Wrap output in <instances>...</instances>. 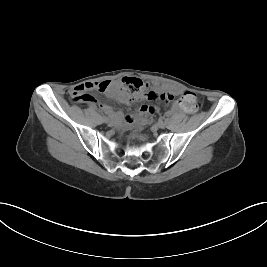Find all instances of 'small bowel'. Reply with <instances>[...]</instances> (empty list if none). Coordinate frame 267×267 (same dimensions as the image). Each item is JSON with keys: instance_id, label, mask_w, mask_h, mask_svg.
<instances>
[{"instance_id": "1", "label": "small bowel", "mask_w": 267, "mask_h": 267, "mask_svg": "<svg viewBox=\"0 0 267 267\" xmlns=\"http://www.w3.org/2000/svg\"><path fill=\"white\" fill-rule=\"evenodd\" d=\"M101 83V82H87V83H84V84H88L90 85L92 88H96L97 85ZM82 85V84H81ZM79 85V86H81ZM79 86H76L74 88H72L70 91H69V95L72 96L73 94V91L75 89H77ZM153 90L155 91H159V90H165L167 91L170 95H178L181 93V90L177 87V86H174V85H167V86H163V87H159L157 85H154L153 87ZM112 95L114 97H116L120 102L122 103H127L128 102V96L126 93L124 92H120V91H115L114 93H112ZM87 102L89 103H94V100L93 99H90L88 100ZM98 107L103 110L104 112H111V107L104 104V103H99L98 104ZM181 109V105H178V104H174L171 108V110L173 112H178L179 110ZM156 111V108L154 106H151V105H146V104H143L140 106L139 108V116H144V115H148V114H152ZM136 116L133 115V114H127L124 119L127 123H132L134 120H135Z\"/></svg>"}]
</instances>
